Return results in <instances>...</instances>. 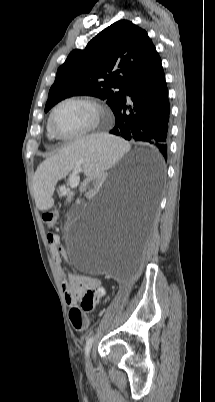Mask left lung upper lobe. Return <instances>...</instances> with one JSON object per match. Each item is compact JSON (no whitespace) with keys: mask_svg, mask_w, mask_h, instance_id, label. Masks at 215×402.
<instances>
[{"mask_svg":"<svg viewBox=\"0 0 215 402\" xmlns=\"http://www.w3.org/2000/svg\"><path fill=\"white\" fill-rule=\"evenodd\" d=\"M158 58L144 29L127 20L117 21L95 36L85 49L69 54L57 71L45 112L75 95L107 100L114 112L130 82Z\"/></svg>","mask_w":215,"mask_h":402,"instance_id":"1","label":"left lung upper lobe"}]
</instances>
